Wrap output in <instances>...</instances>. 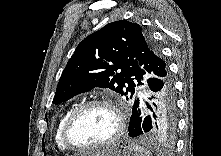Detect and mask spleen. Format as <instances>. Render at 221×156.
<instances>
[{"label":"spleen","instance_id":"obj_1","mask_svg":"<svg viewBox=\"0 0 221 156\" xmlns=\"http://www.w3.org/2000/svg\"><path fill=\"white\" fill-rule=\"evenodd\" d=\"M135 156H152V153L142 146L131 144Z\"/></svg>","mask_w":221,"mask_h":156}]
</instances>
